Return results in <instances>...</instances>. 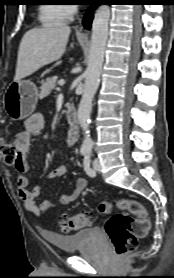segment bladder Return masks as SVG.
<instances>
[{
	"instance_id": "obj_1",
	"label": "bladder",
	"mask_w": 174,
	"mask_h": 278,
	"mask_svg": "<svg viewBox=\"0 0 174 278\" xmlns=\"http://www.w3.org/2000/svg\"><path fill=\"white\" fill-rule=\"evenodd\" d=\"M100 231L98 228L82 229L74 234L60 235L49 234L47 239L59 250L67 253L83 249L98 240Z\"/></svg>"
}]
</instances>
